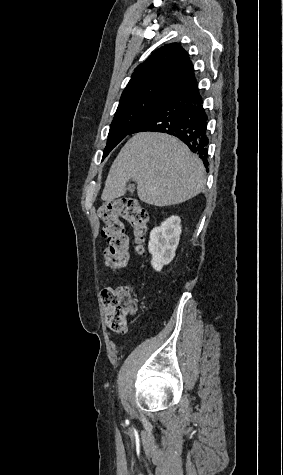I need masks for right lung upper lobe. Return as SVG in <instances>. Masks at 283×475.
<instances>
[{
    "label": "right lung upper lobe",
    "mask_w": 283,
    "mask_h": 475,
    "mask_svg": "<svg viewBox=\"0 0 283 475\" xmlns=\"http://www.w3.org/2000/svg\"><path fill=\"white\" fill-rule=\"evenodd\" d=\"M194 79L187 52L178 43L167 44L135 68L120 101L159 89L175 90Z\"/></svg>",
    "instance_id": "1"
}]
</instances>
